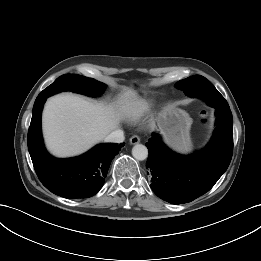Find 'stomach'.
<instances>
[{
  "instance_id": "obj_1",
  "label": "stomach",
  "mask_w": 261,
  "mask_h": 261,
  "mask_svg": "<svg viewBox=\"0 0 261 261\" xmlns=\"http://www.w3.org/2000/svg\"><path fill=\"white\" fill-rule=\"evenodd\" d=\"M157 124L170 147L179 152H189L192 149L189 134L192 119L186 111L168 105L159 113Z\"/></svg>"
}]
</instances>
